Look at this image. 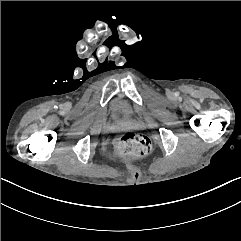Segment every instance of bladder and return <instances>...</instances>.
Here are the masks:
<instances>
[{"instance_id": "1", "label": "bladder", "mask_w": 241, "mask_h": 241, "mask_svg": "<svg viewBox=\"0 0 241 241\" xmlns=\"http://www.w3.org/2000/svg\"><path fill=\"white\" fill-rule=\"evenodd\" d=\"M112 113L119 121H129L133 118L131 107L123 100L116 99L112 104Z\"/></svg>"}]
</instances>
